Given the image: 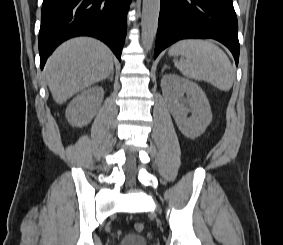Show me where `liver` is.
<instances>
[{
  "instance_id": "6515ba94",
  "label": "liver",
  "mask_w": 283,
  "mask_h": 245,
  "mask_svg": "<svg viewBox=\"0 0 283 245\" xmlns=\"http://www.w3.org/2000/svg\"><path fill=\"white\" fill-rule=\"evenodd\" d=\"M113 71V55L101 41L70 39L49 57L44 68L54 101L63 104L76 93L104 80Z\"/></svg>"
}]
</instances>
